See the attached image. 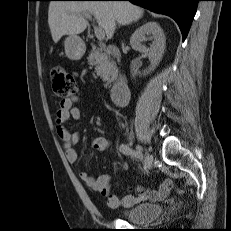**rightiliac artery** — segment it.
Segmentation results:
<instances>
[{"mask_svg": "<svg viewBox=\"0 0 231 231\" xmlns=\"http://www.w3.org/2000/svg\"><path fill=\"white\" fill-rule=\"evenodd\" d=\"M119 150H120V152H122L125 155H130L132 157L142 159V152L140 149L133 150L129 145L121 144L119 147ZM148 168L149 167L147 165H145L144 171L148 172Z\"/></svg>", "mask_w": 231, "mask_h": 231, "instance_id": "obj_1", "label": "right iliac artery"}]
</instances>
